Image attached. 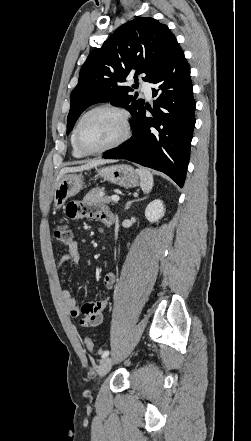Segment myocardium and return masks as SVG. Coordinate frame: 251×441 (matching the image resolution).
<instances>
[{
    "mask_svg": "<svg viewBox=\"0 0 251 441\" xmlns=\"http://www.w3.org/2000/svg\"><path fill=\"white\" fill-rule=\"evenodd\" d=\"M100 110H109V111H112V112H115L116 114H118V116L120 117L121 122H122L123 130H122L121 135L112 143H110L100 149L88 150L82 146L81 141H80L81 126L87 116H89L90 114H92L96 111H100ZM130 135H131V121H130V115H129L128 111L118 105L111 104V103L99 104V105H96V106L90 108L89 110H87L80 117V119L75 127V130H74L75 145L78 148V150L81 153H83L84 155H98V154H102L104 152L110 151L112 149H115V148L119 147L120 145H122L125 141H127L129 139Z\"/></svg>",
    "mask_w": 251,
    "mask_h": 441,
    "instance_id": "obj_1",
    "label": "myocardium"
}]
</instances>
